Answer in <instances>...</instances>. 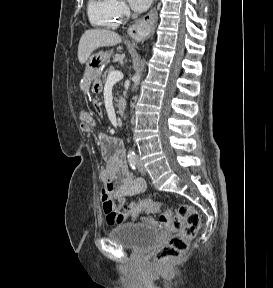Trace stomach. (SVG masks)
Wrapping results in <instances>:
<instances>
[{"instance_id": "stomach-1", "label": "stomach", "mask_w": 273, "mask_h": 288, "mask_svg": "<svg viewBox=\"0 0 273 288\" xmlns=\"http://www.w3.org/2000/svg\"><path fill=\"white\" fill-rule=\"evenodd\" d=\"M112 52V50L105 52L100 51L90 57L89 61L87 62V68L83 80L87 84L88 88L92 83L91 91L95 94H99L102 91L100 76L104 67L108 64Z\"/></svg>"}]
</instances>
